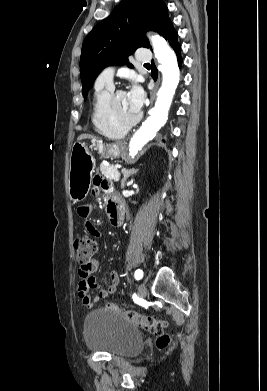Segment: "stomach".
I'll return each instance as SVG.
<instances>
[{
  "label": "stomach",
  "mask_w": 267,
  "mask_h": 391,
  "mask_svg": "<svg viewBox=\"0 0 267 391\" xmlns=\"http://www.w3.org/2000/svg\"><path fill=\"white\" fill-rule=\"evenodd\" d=\"M101 157H119L122 147L119 144L104 146L97 142ZM95 159L85 143L76 142L70 155L68 191L73 202L82 201L88 194L91 186L92 174L95 169Z\"/></svg>",
  "instance_id": "obj_1"
}]
</instances>
